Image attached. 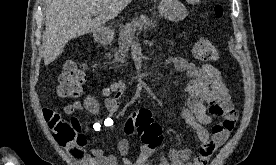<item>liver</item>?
Wrapping results in <instances>:
<instances>
[{
	"label": "liver",
	"mask_w": 276,
	"mask_h": 165,
	"mask_svg": "<svg viewBox=\"0 0 276 165\" xmlns=\"http://www.w3.org/2000/svg\"><path fill=\"white\" fill-rule=\"evenodd\" d=\"M132 0H51L42 36L44 64L52 63L68 41L95 32L118 16ZM98 15L95 19L92 16Z\"/></svg>",
	"instance_id": "1"
}]
</instances>
